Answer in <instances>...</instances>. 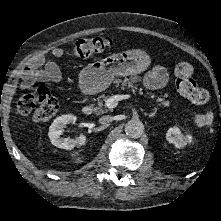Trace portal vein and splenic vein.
<instances>
[{"label":"portal vein and splenic vein","instance_id":"1","mask_svg":"<svg viewBox=\"0 0 221 221\" xmlns=\"http://www.w3.org/2000/svg\"><path fill=\"white\" fill-rule=\"evenodd\" d=\"M130 97V94L114 95L106 100V105L108 108L113 109L118 105V101L129 99Z\"/></svg>","mask_w":221,"mask_h":221}]
</instances>
